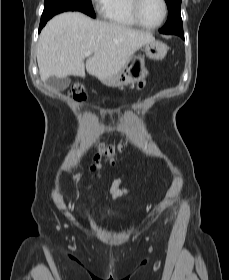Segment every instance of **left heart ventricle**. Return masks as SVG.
<instances>
[{"label":"left heart ventricle","mask_w":229,"mask_h":280,"mask_svg":"<svg viewBox=\"0 0 229 280\" xmlns=\"http://www.w3.org/2000/svg\"><path fill=\"white\" fill-rule=\"evenodd\" d=\"M163 15L160 0H143L140 7L141 19L148 25L157 24Z\"/></svg>","instance_id":"left-heart-ventricle-1"}]
</instances>
